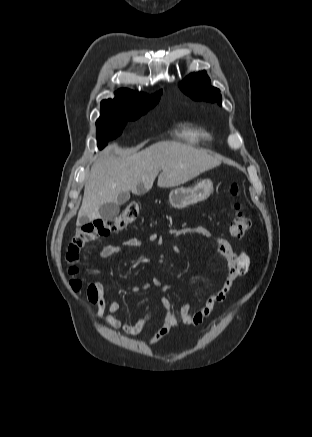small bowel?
I'll return each mask as SVG.
<instances>
[{
	"label": "small bowel",
	"mask_w": 312,
	"mask_h": 437,
	"mask_svg": "<svg viewBox=\"0 0 312 437\" xmlns=\"http://www.w3.org/2000/svg\"><path fill=\"white\" fill-rule=\"evenodd\" d=\"M172 238H179L183 235H200L210 239L216 246L217 250L227 260V272L222 285L209 293L202 305L192 306L189 303H184L180 306L178 313L173 309L171 302L166 298H161V304L164 308V321L162 326L150 338L149 343L154 344L167 336L169 332L179 326L180 323L189 326H198L207 318L219 305L223 304L227 299V295L232 288L235 279L245 275L250 266V256L247 252L235 253L230 243L213 233L212 231L202 226H192L185 228H171L168 231ZM152 240L159 242L161 238L157 234L152 235ZM143 246V241L139 238H129L119 244H108L103 246L99 251L101 259H107L120 253L124 247ZM174 251L178 252L179 247L174 245ZM161 282L158 279L145 282L141 287L134 286L131 291L138 293L140 290H148L152 286H160ZM168 285H162L163 291L169 290ZM88 300L91 305L97 308V315L103 318L104 321L114 329L120 330L127 335H136L144 330L152 321L153 314L146 313L139 318L135 323L129 324L122 322L115 317L113 313L121 310V305L118 302H109L106 297V292L103 284L94 280L88 284L87 288ZM107 312H109L107 314Z\"/></svg>",
	"instance_id": "obj_1"
}]
</instances>
